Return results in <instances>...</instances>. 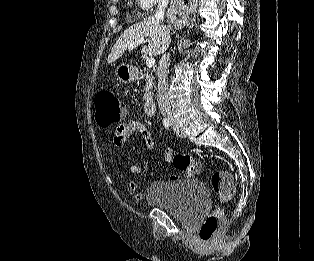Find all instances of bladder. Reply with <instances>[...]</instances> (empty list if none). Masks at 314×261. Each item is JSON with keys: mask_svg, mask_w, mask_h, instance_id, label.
<instances>
[{"mask_svg": "<svg viewBox=\"0 0 314 261\" xmlns=\"http://www.w3.org/2000/svg\"><path fill=\"white\" fill-rule=\"evenodd\" d=\"M146 201L184 224L192 225L208 207V190L196 179L155 181L146 193Z\"/></svg>", "mask_w": 314, "mask_h": 261, "instance_id": "1", "label": "bladder"}]
</instances>
